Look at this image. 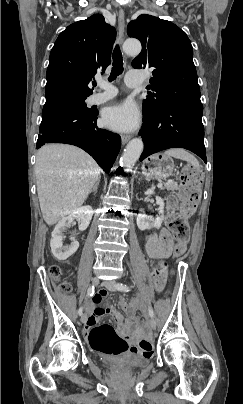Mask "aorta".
Wrapping results in <instances>:
<instances>
[{"label": "aorta", "instance_id": "aorta-1", "mask_svg": "<svg viewBox=\"0 0 243 404\" xmlns=\"http://www.w3.org/2000/svg\"><path fill=\"white\" fill-rule=\"evenodd\" d=\"M122 48L127 56H138L142 50L139 40H134V38H131V40H125ZM142 152L143 142L141 138H134V140H131L124 150L121 160L122 163L120 165L121 168L124 170L127 168H133L134 164L139 160Z\"/></svg>", "mask_w": 243, "mask_h": 404}]
</instances>
